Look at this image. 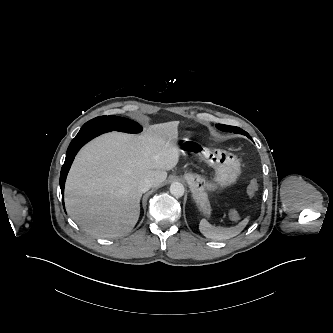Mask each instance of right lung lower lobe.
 <instances>
[{
	"instance_id": "98d812e1",
	"label": "right lung lower lobe",
	"mask_w": 333,
	"mask_h": 333,
	"mask_svg": "<svg viewBox=\"0 0 333 333\" xmlns=\"http://www.w3.org/2000/svg\"><path fill=\"white\" fill-rule=\"evenodd\" d=\"M108 131H111V129H109V128L83 129V130H80L78 132V134L76 135V137L71 141V143L67 149L65 162L62 166L61 174H60V187H61L62 195L64 193V185H65L67 173H68L70 166L73 162V159H74L75 155L77 154V152L79 151V149L92 138H94L102 133L108 132Z\"/></svg>"
}]
</instances>
